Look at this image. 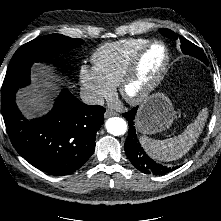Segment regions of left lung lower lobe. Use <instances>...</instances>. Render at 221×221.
Wrapping results in <instances>:
<instances>
[{
    "label": "left lung lower lobe",
    "instance_id": "obj_1",
    "mask_svg": "<svg viewBox=\"0 0 221 221\" xmlns=\"http://www.w3.org/2000/svg\"><path fill=\"white\" fill-rule=\"evenodd\" d=\"M137 112V108L123 114L129 124L128 137L126 139L124 149L127 157L131 163L141 172L152 175H163L169 173L179 166L167 167L154 162L143 150L139 140L136 137L134 118Z\"/></svg>",
    "mask_w": 221,
    "mask_h": 221
}]
</instances>
